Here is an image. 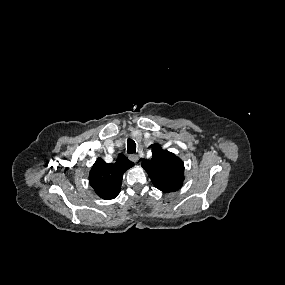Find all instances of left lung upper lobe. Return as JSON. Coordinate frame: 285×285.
<instances>
[{
    "label": "left lung upper lobe",
    "instance_id": "obj_1",
    "mask_svg": "<svg viewBox=\"0 0 285 285\" xmlns=\"http://www.w3.org/2000/svg\"><path fill=\"white\" fill-rule=\"evenodd\" d=\"M151 160H143L142 167L147 171L156 188L163 192H174L182 187L184 165L173 153L163 150L158 144L152 148Z\"/></svg>",
    "mask_w": 285,
    "mask_h": 285
}]
</instances>
